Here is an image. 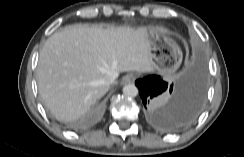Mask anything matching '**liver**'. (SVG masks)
<instances>
[{
    "label": "liver",
    "mask_w": 244,
    "mask_h": 157,
    "mask_svg": "<svg viewBox=\"0 0 244 157\" xmlns=\"http://www.w3.org/2000/svg\"><path fill=\"white\" fill-rule=\"evenodd\" d=\"M144 28L76 24L55 32L39 54V94L52 114L72 121L106 94L110 72L152 71Z\"/></svg>",
    "instance_id": "6515ba94"
}]
</instances>
